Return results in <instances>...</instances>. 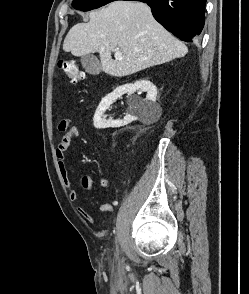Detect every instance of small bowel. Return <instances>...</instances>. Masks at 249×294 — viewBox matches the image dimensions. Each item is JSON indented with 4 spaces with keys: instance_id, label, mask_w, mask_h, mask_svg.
<instances>
[{
    "instance_id": "1",
    "label": "small bowel",
    "mask_w": 249,
    "mask_h": 294,
    "mask_svg": "<svg viewBox=\"0 0 249 294\" xmlns=\"http://www.w3.org/2000/svg\"><path fill=\"white\" fill-rule=\"evenodd\" d=\"M58 130L63 133L60 142L56 147V158L58 160V167L62 176L65 186L68 188V195L71 200L77 199V191L73 188L71 180L68 176L67 165H66V152L71 145L72 141L79 136L80 129L77 124L70 120H61L58 123ZM82 188L91 192L93 190V181L89 176H84L81 181ZM117 202L112 203H101L98 205V211L102 213H112L114 211ZM78 213L88 222L93 223L92 215L82 207H77Z\"/></svg>"
}]
</instances>
